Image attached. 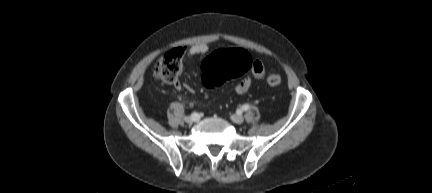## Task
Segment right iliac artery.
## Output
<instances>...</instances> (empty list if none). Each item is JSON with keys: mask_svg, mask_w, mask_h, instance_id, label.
<instances>
[{"mask_svg": "<svg viewBox=\"0 0 432 193\" xmlns=\"http://www.w3.org/2000/svg\"><path fill=\"white\" fill-rule=\"evenodd\" d=\"M196 112L194 111V112H191V117H196Z\"/></svg>", "mask_w": 432, "mask_h": 193, "instance_id": "obj_1", "label": "right iliac artery"}]
</instances>
